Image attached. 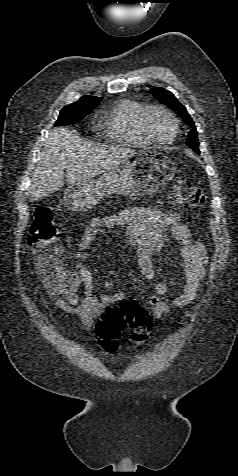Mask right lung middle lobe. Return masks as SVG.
I'll return each mask as SVG.
<instances>
[{"label": "right lung middle lobe", "instance_id": "obj_1", "mask_svg": "<svg viewBox=\"0 0 238 476\" xmlns=\"http://www.w3.org/2000/svg\"><path fill=\"white\" fill-rule=\"evenodd\" d=\"M97 105H67L61 111L55 125L62 126L75 123L88 115Z\"/></svg>", "mask_w": 238, "mask_h": 476}]
</instances>
